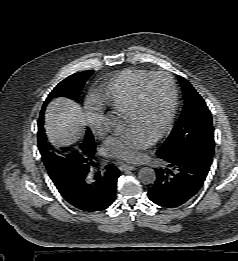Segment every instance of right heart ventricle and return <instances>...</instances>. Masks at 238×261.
Instances as JSON below:
<instances>
[{"label": "right heart ventricle", "mask_w": 238, "mask_h": 261, "mask_svg": "<svg viewBox=\"0 0 238 261\" xmlns=\"http://www.w3.org/2000/svg\"><path fill=\"white\" fill-rule=\"evenodd\" d=\"M149 74L144 69H128L121 72L103 88L97 103L118 112H126L134 101L139 84Z\"/></svg>", "instance_id": "right-heart-ventricle-1"}]
</instances>
